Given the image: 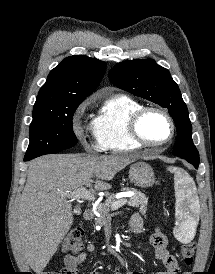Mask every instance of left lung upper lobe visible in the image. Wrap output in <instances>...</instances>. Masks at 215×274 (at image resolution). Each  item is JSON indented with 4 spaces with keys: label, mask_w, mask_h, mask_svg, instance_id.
<instances>
[{
    "label": "left lung upper lobe",
    "mask_w": 215,
    "mask_h": 274,
    "mask_svg": "<svg viewBox=\"0 0 215 274\" xmlns=\"http://www.w3.org/2000/svg\"><path fill=\"white\" fill-rule=\"evenodd\" d=\"M112 84L141 98L166 108L173 118L178 136L173 149L175 156L200 161L192 140L189 113L178 85L169 71L153 59L127 60L116 64L109 72Z\"/></svg>",
    "instance_id": "obj_1"
}]
</instances>
